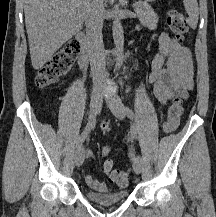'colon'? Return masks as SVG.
I'll return each mask as SVG.
<instances>
[{"label": "colon", "instance_id": "obj_1", "mask_svg": "<svg viewBox=\"0 0 216 217\" xmlns=\"http://www.w3.org/2000/svg\"><path fill=\"white\" fill-rule=\"evenodd\" d=\"M167 24L177 40L183 41L188 31L186 20L178 10H171L167 15ZM80 51L77 41L69 42L60 52L54 55L38 72L35 82L37 87L46 88L67 76ZM183 113V104L180 98H175L167 110V117L163 125L165 133H172L178 126ZM101 132L106 135L111 130L109 121H104L100 126ZM105 168L111 180L117 186L123 187L127 184V174L125 171L114 168L113 161L108 160Z\"/></svg>", "mask_w": 216, "mask_h": 217}]
</instances>
